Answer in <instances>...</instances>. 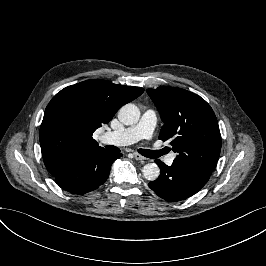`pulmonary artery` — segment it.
Instances as JSON below:
<instances>
[{
	"instance_id": "1",
	"label": "pulmonary artery",
	"mask_w": 266,
	"mask_h": 266,
	"mask_svg": "<svg viewBox=\"0 0 266 266\" xmlns=\"http://www.w3.org/2000/svg\"><path fill=\"white\" fill-rule=\"evenodd\" d=\"M150 111L142 114L140 121L130 127L124 128L120 131H109L103 137L104 143H115L119 145H129L131 143L139 142L143 138L149 139L152 137L156 119ZM153 124V125H152ZM176 154L171 153L165 159L167 165H171L174 161Z\"/></svg>"
}]
</instances>
